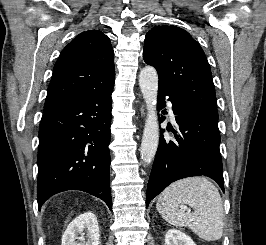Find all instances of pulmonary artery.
Here are the masks:
<instances>
[{
  "mask_svg": "<svg viewBox=\"0 0 266 245\" xmlns=\"http://www.w3.org/2000/svg\"><path fill=\"white\" fill-rule=\"evenodd\" d=\"M167 107H168V110H169L170 117L173 119L174 115H173V110H172V104L170 102H168L167 103Z\"/></svg>",
  "mask_w": 266,
  "mask_h": 245,
  "instance_id": "obj_1",
  "label": "pulmonary artery"
}]
</instances>
